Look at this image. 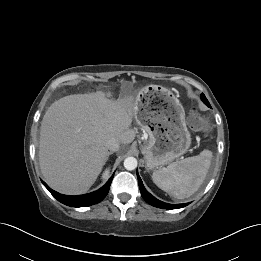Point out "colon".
Returning a JSON list of instances; mask_svg holds the SVG:
<instances>
[{
    "label": "colon",
    "mask_w": 261,
    "mask_h": 261,
    "mask_svg": "<svg viewBox=\"0 0 261 261\" xmlns=\"http://www.w3.org/2000/svg\"><path fill=\"white\" fill-rule=\"evenodd\" d=\"M188 125L194 131H202L206 128L207 122L201 114L192 109L188 116Z\"/></svg>",
    "instance_id": "obj_1"
}]
</instances>
